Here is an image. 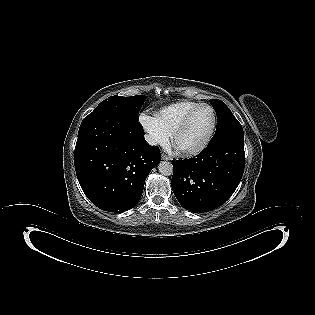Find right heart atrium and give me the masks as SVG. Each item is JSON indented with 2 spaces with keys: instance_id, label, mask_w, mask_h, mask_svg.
<instances>
[{
  "instance_id": "obj_1",
  "label": "right heart atrium",
  "mask_w": 315,
  "mask_h": 315,
  "mask_svg": "<svg viewBox=\"0 0 315 315\" xmlns=\"http://www.w3.org/2000/svg\"><path fill=\"white\" fill-rule=\"evenodd\" d=\"M139 122L147 133L148 142L152 145L166 146L169 142V134L160 125L154 116L142 113Z\"/></svg>"
}]
</instances>
